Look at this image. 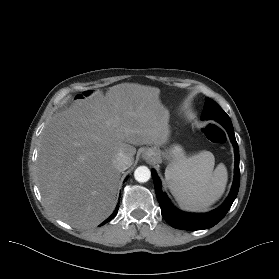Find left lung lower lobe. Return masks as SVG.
Segmentation results:
<instances>
[{
	"label": "left lung lower lobe",
	"instance_id": "left-lung-lower-lobe-1",
	"mask_svg": "<svg viewBox=\"0 0 279 279\" xmlns=\"http://www.w3.org/2000/svg\"><path fill=\"white\" fill-rule=\"evenodd\" d=\"M220 124H222L227 130L229 138L234 146L235 176L231 192L226 201L219 208L205 214H189L177 210L171 204L165 193L162 192L161 182L156 172L154 170L151 171L162 216L167 223L174 228L183 230H203L213 227L223 219L237 196L240 184L239 148L236 142L231 120L229 122L221 121Z\"/></svg>",
	"mask_w": 279,
	"mask_h": 279
}]
</instances>
